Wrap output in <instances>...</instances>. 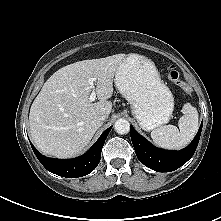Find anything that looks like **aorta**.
Returning <instances> with one entry per match:
<instances>
[{
	"label": "aorta",
	"instance_id": "obj_1",
	"mask_svg": "<svg viewBox=\"0 0 221 221\" xmlns=\"http://www.w3.org/2000/svg\"><path fill=\"white\" fill-rule=\"evenodd\" d=\"M114 128L118 134H127L130 131V123L126 119L120 118L115 122Z\"/></svg>",
	"mask_w": 221,
	"mask_h": 221
}]
</instances>
